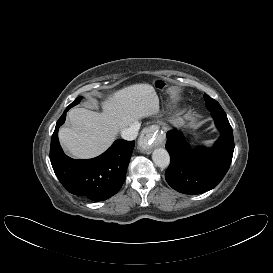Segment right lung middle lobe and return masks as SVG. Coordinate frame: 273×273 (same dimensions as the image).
Segmentation results:
<instances>
[{
    "label": "right lung middle lobe",
    "instance_id": "1",
    "mask_svg": "<svg viewBox=\"0 0 273 273\" xmlns=\"http://www.w3.org/2000/svg\"><path fill=\"white\" fill-rule=\"evenodd\" d=\"M82 97L76 98L68 107L71 108L75 105H77L81 101Z\"/></svg>",
    "mask_w": 273,
    "mask_h": 273
}]
</instances>
